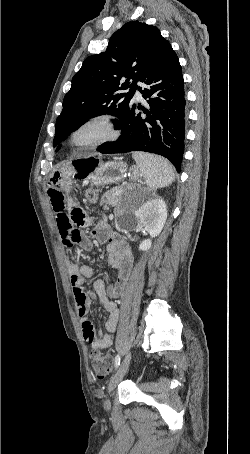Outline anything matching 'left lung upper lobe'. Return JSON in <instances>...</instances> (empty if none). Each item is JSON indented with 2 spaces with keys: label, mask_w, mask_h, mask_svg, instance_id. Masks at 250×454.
Wrapping results in <instances>:
<instances>
[{
  "label": "left lung upper lobe",
  "mask_w": 250,
  "mask_h": 454,
  "mask_svg": "<svg viewBox=\"0 0 250 454\" xmlns=\"http://www.w3.org/2000/svg\"><path fill=\"white\" fill-rule=\"evenodd\" d=\"M172 51L157 27L139 21L123 25L112 35L107 49L87 57L72 78L56 120L53 146L58 150L72 131L99 115L117 116L113 120L117 128L138 88L136 83L158 68ZM127 88L130 91L122 93Z\"/></svg>",
  "instance_id": "5c2ea615"
}]
</instances>
